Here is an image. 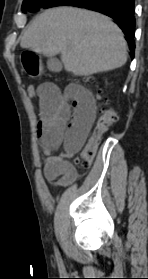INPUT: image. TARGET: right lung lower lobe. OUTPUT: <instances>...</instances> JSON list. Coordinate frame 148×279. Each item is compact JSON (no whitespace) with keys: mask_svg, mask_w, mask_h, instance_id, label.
I'll list each match as a JSON object with an SVG mask.
<instances>
[{"mask_svg":"<svg viewBox=\"0 0 148 279\" xmlns=\"http://www.w3.org/2000/svg\"><path fill=\"white\" fill-rule=\"evenodd\" d=\"M62 5L94 10L113 18L124 32L130 47L131 57H134V0H49L43 8Z\"/></svg>","mask_w":148,"mask_h":279,"instance_id":"98d812e1","label":"right lung lower lobe"}]
</instances>
